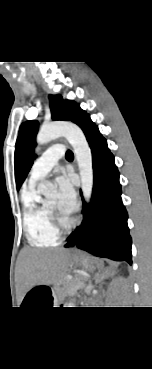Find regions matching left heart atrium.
Masks as SVG:
<instances>
[{
    "label": "left heart atrium",
    "mask_w": 152,
    "mask_h": 369,
    "mask_svg": "<svg viewBox=\"0 0 152 369\" xmlns=\"http://www.w3.org/2000/svg\"><path fill=\"white\" fill-rule=\"evenodd\" d=\"M59 193V208L66 216H71L77 209L78 201L71 178L60 176L56 179Z\"/></svg>",
    "instance_id": "obj_1"
}]
</instances>
